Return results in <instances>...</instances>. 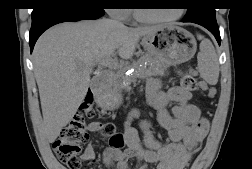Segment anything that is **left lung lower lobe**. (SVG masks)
I'll return each instance as SVG.
<instances>
[{"instance_id": "1", "label": "left lung lower lobe", "mask_w": 252, "mask_h": 169, "mask_svg": "<svg viewBox=\"0 0 252 169\" xmlns=\"http://www.w3.org/2000/svg\"><path fill=\"white\" fill-rule=\"evenodd\" d=\"M182 22H192L199 24L206 29H208L216 38L217 42L220 44L221 38H220V32H219V27L217 25L216 19H199V20H182Z\"/></svg>"}]
</instances>
